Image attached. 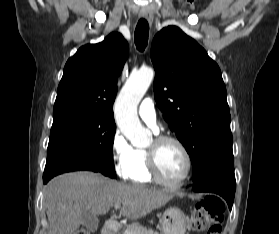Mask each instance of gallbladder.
<instances>
[{
    "label": "gallbladder",
    "mask_w": 279,
    "mask_h": 234,
    "mask_svg": "<svg viewBox=\"0 0 279 234\" xmlns=\"http://www.w3.org/2000/svg\"><path fill=\"white\" fill-rule=\"evenodd\" d=\"M82 224L89 231H96L98 228V218L91 212H84L81 217Z\"/></svg>",
    "instance_id": "1"
}]
</instances>
